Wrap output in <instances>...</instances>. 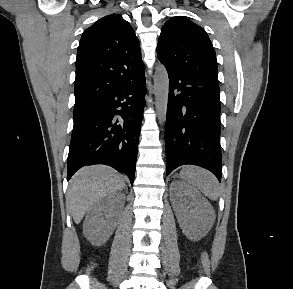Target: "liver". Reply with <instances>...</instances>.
<instances>
[{
	"label": "liver",
	"instance_id": "liver-1",
	"mask_svg": "<svg viewBox=\"0 0 293 289\" xmlns=\"http://www.w3.org/2000/svg\"><path fill=\"white\" fill-rule=\"evenodd\" d=\"M124 187V177L108 166L94 165L81 168L70 180L67 191L66 204L74 222L79 224L96 202Z\"/></svg>",
	"mask_w": 293,
	"mask_h": 289
}]
</instances>
